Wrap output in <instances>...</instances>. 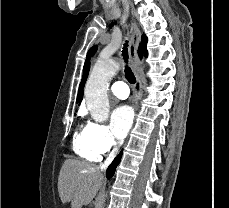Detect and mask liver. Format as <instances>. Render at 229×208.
I'll return each mask as SVG.
<instances>
[{"label": "liver", "instance_id": "liver-1", "mask_svg": "<svg viewBox=\"0 0 229 208\" xmlns=\"http://www.w3.org/2000/svg\"><path fill=\"white\" fill-rule=\"evenodd\" d=\"M103 182V174L91 162L65 160L58 178L60 200L71 202V208H82L95 198Z\"/></svg>", "mask_w": 229, "mask_h": 208}]
</instances>
